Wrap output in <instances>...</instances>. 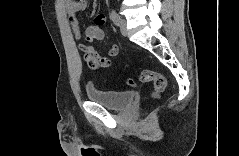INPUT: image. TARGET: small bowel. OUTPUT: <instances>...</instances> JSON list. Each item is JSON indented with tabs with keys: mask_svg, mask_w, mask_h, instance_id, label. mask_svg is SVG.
Here are the masks:
<instances>
[{
	"mask_svg": "<svg viewBox=\"0 0 239 156\" xmlns=\"http://www.w3.org/2000/svg\"><path fill=\"white\" fill-rule=\"evenodd\" d=\"M63 6L68 15L69 23L72 27L73 36L76 40H80L82 37V30L77 19V15L82 13L87 8L86 0H65ZM106 19L103 15H98L94 23L87 26L84 30V37L87 44H79V49L84 54L85 63L94 70L108 68L112 65L113 59L118 56L119 49L116 44H111L103 56L99 51L91 45L94 41H102L105 37L102 26Z\"/></svg>",
	"mask_w": 239,
	"mask_h": 156,
	"instance_id": "small-bowel-1",
	"label": "small bowel"
}]
</instances>
